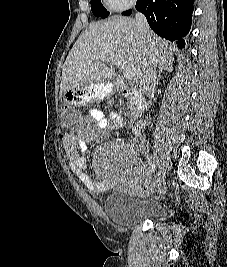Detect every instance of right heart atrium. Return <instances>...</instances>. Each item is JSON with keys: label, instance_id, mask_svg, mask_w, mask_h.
<instances>
[{"label": "right heart atrium", "instance_id": "right-heart-atrium-1", "mask_svg": "<svg viewBox=\"0 0 227 267\" xmlns=\"http://www.w3.org/2000/svg\"><path fill=\"white\" fill-rule=\"evenodd\" d=\"M106 5L115 11H123L136 5L137 0H104Z\"/></svg>", "mask_w": 227, "mask_h": 267}]
</instances>
